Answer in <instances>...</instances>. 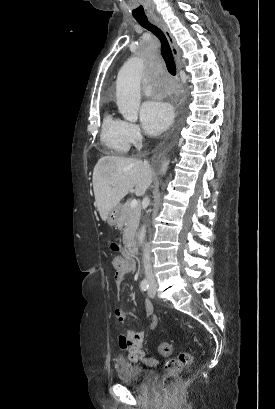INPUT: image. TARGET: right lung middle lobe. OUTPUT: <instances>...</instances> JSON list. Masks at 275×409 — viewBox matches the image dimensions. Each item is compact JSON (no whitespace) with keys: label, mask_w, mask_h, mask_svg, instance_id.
I'll return each instance as SVG.
<instances>
[{"label":"right lung middle lobe","mask_w":275,"mask_h":409,"mask_svg":"<svg viewBox=\"0 0 275 409\" xmlns=\"http://www.w3.org/2000/svg\"><path fill=\"white\" fill-rule=\"evenodd\" d=\"M148 166L150 169H159L161 166V163L159 160H150L148 163Z\"/></svg>","instance_id":"1"}]
</instances>
